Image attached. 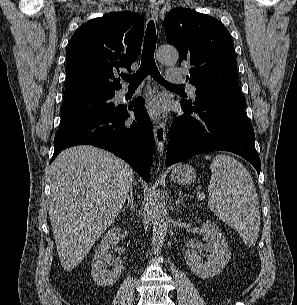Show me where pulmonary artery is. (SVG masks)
I'll return each instance as SVG.
<instances>
[{
  "instance_id": "obj_1",
  "label": "pulmonary artery",
  "mask_w": 297,
  "mask_h": 305,
  "mask_svg": "<svg viewBox=\"0 0 297 305\" xmlns=\"http://www.w3.org/2000/svg\"><path fill=\"white\" fill-rule=\"evenodd\" d=\"M167 79L171 83H184L183 73L181 69L169 70L167 72ZM188 90L192 97L196 95V87L193 84H188ZM127 90L123 88L121 94L125 95Z\"/></svg>"
}]
</instances>
